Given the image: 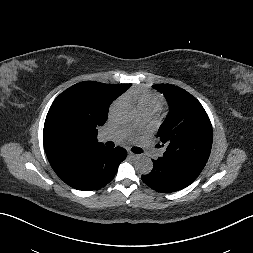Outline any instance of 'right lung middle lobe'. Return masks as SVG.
Returning <instances> with one entry per match:
<instances>
[{
	"label": "right lung middle lobe",
	"mask_w": 253,
	"mask_h": 253,
	"mask_svg": "<svg viewBox=\"0 0 253 253\" xmlns=\"http://www.w3.org/2000/svg\"><path fill=\"white\" fill-rule=\"evenodd\" d=\"M112 101L101 96H63L53 102L48 112V128L61 138L97 136V127L106 122Z\"/></svg>",
	"instance_id": "dd1d6c3e"
}]
</instances>
